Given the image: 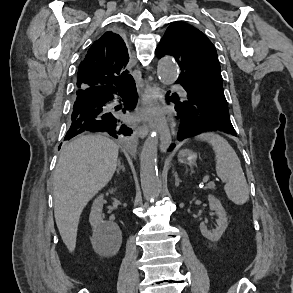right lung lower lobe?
Returning <instances> with one entry per match:
<instances>
[{"instance_id":"98d812e1","label":"right lung lower lobe","mask_w":293,"mask_h":293,"mask_svg":"<svg viewBox=\"0 0 293 293\" xmlns=\"http://www.w3.org/2000/svg\"><path fill=\"white\" fill-rule=\"evenodd\" d=\"M121 97L124 109L133 108L137 102V93L134 79L124 86H97L76 91V100L71 116V127L64 140H69L84 131L106 132L114 138L130 136L132 129L127 127L119 119L116 106L114 109L109 105L115 96Z\"/></svg>"}]
</instances>
